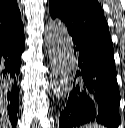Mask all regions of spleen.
I'll list each match as a JSON object with an SVG mask.
<instances>
[{"label": "spleen", "mask_w": 125, "mask_h": 128, "mask_svg": "<svg viewBox=\"0 0 125 128\" xmlns=\"http://www.w3.org/2000/svg\"><path fill=\"white\" fill-rule=\"evenodd\" d=\"M85 128H98V126L97 125H89V126H86Z\"/></svg>", "instance_id": "spleen-1"}]
</instances>
